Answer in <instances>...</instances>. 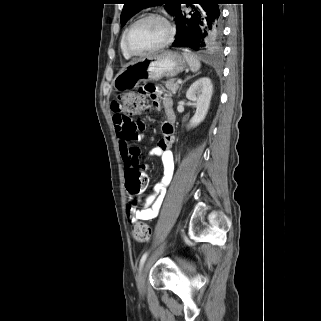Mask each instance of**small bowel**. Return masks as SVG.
I'll list each match as a JSON object with an SVG mask.
<instances>
[{"label": "small bowel", "mask_w": 321, "mask_h": 321, "mask_svg": "<svg viewBox=\"0 0 321 321\" xmlns=\"http://www.w3.org/2000/svg\"><path fill=\"white\" fill-rule=\"evenodd\" d=\"M135 91L142 98H149L155 108L160 107V99L165 112V120L161 125L162 138L151 150V155L160 158L162 161L163 175L160 182L153 187L152 192L145 197L142 208L138 209L135 200L130 199L126 207V217L132 223L139 220L149 221L159 214L166 187L170 183L174 172V158L170 148L175 141L176 120L172 99L161 91V87L157 86L156 82H143L142 86H136ZM111 110L113 111V123L120 154L127 166L131 160L139 159L140 150L131 143L143 138L145 124L142 121L124 118L118 111L117 102L111 104Z\"/></svg>", "instance_id": "obj_1"}]
</instances>
